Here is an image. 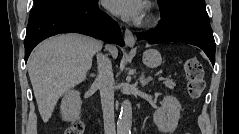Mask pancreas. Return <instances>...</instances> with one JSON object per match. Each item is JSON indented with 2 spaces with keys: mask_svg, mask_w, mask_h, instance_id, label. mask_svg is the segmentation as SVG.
I'll use <instances>...</instances> for the list:
<instances>
[{
  "mask_svg": "<svg viewBox=\"0 0 239 134\" xmlns=\"http://www.w3.org/2000/svg\"><path fill=\"white\" fill-rule=\"evenodd\" d=\"M163 84L169 89H174L176 86L174 80L170 78L164 79Z\"/></svg>",
  "mask_w": 239,
  "mask_h": 134,
  "instance_id": "1",
  "label": "pancreas"
}]
</instances>
